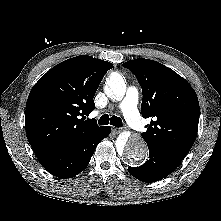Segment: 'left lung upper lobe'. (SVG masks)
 Returning <instances> with one entry per match:
<instances>
[{"mask_svg": "<svg viewBox=\"0 0 221 221\" xmlns=\"http://www.w3.org/2000/svg\"><path fill=\"white\" fill-rule=\"evenodd\" d=\"M123 66L141 85L142 116L153 118L142 133L147 146L184 159L198 130L200 109L195 91L184 78L157 61L134 59Z\"/></svg>", "mask_w": 221, "mask_h": 221, "instance_id": "left-lung-upper-lobe-1", "label": "left lung upper lobe"}]
</instances>
